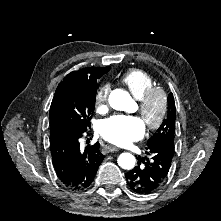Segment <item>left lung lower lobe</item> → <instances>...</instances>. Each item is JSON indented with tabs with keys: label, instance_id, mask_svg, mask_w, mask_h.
<instances>
[{
	"label": "left lung lower lobe",
	"instance_id": "1",
	"mask_svg": "<svg viewBox=\"0 0 221 221\" xmlns=\"http://www.w3.org/2000/svg\"><path fill=\"white\" fill-rule=\"evenodd\" d=\"M147 154L152 155V160L148 158H138V165L125 174L129 187L139 194H149L157 190L167 178L174 147L162 143L154 147L147 148Z\"/></svg>",
	"mask_w": 221,
	"mask_h": 221
}]
</instances>
